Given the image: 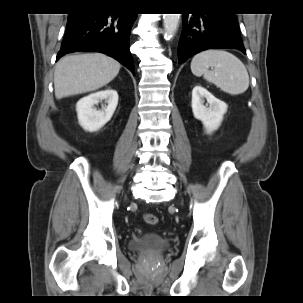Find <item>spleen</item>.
Segmentation results:
<instances>
[{
  "label": "spleen",
  "mask_w": 303,
  "mask_h": 303,
  "mask_svg": "<svg viewBox=\"0 0 303 303\" xmlns=\"http://www.w3.org/2000/svg\"><path fill=\"white\" fill-rule=\"evenodd\" d=\"M190 67L195 76H203L206 81L231 95L242 94L249 87L245 65L227 51L210 49L200 52L193 57Z\"/></svg>",
  "instance_id": "spleen-1"
}]
</instances>
